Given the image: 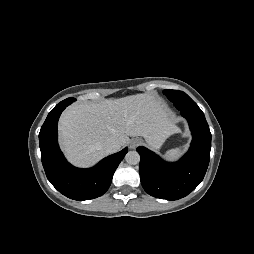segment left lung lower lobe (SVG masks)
I'll return each mask as SVG.
<instances>
[{
    "label": "left lung lower lobe",
    "mask_w": 254,
    "mask_h": 254,
    "mask_svg": "<svg viewBox=\"0 0 254 254\" xmlns=\"http://www.w3.org/2000/svg\"><path fill=\"white\" fill-rule=\"evenodd\" d=\"M193 136L189 151L177 162L163 161L154 152L138 147L140 178L151 196L177 200L187 196L203 180L211 149V133L203 112L182 111Z\"/></svg>",
    "instance_id": "0a47b994"
}]
</instances>
